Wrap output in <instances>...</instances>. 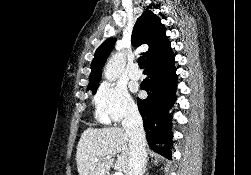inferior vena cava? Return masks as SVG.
<instances>
[{
    "mask_svg": "<svg viewBox=\"0 0 251 175\" xmlns=\"http://www.w3.org/2000/svg\"><path fill=\"white\" fill-rule=\"evenodd\" d=\"M122 127L130 135V159L126 175H142L146 165L147 153L145 131L138 107L128 105L127 109H125Z\"/></svg>",
    "mask_w": 251,
    "mask_h": 175,
    "instance_id": "1",
    "label": "inferior vena cava"
}]
</instances>
